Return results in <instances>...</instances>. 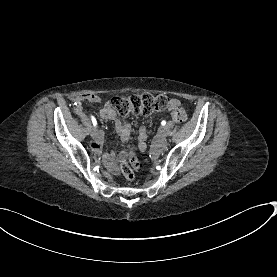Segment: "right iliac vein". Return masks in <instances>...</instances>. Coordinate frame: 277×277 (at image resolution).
Segmentation results:
<instances>
[{"label":"right iliac vein","mask_w":277,"mask_h":277,"mask_svg":"<svg viewBox=\"0 0 277 277\" xmlns=\"http://www.w3.org/2000/svg\"><path fill=\"white\" fill-rule=\"evenodd\" d=\"M91 136L95 140L99 137V131L95 126H93L91 129Z\"/></svg>","instance_id":"obj_1"}]
</instances>
